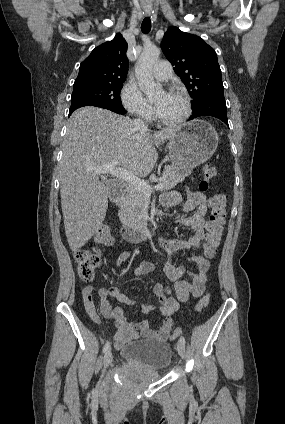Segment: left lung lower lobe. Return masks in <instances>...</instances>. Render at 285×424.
Segmentation results:
<instances>
[{
  "mask_svg": "<svg viewBox=\"0 0 285 424\" xmlns=\"http://www.w3.org/2000/svg\"><path fill=\"white\" fill-rule=\"evenodd\" d=\"M192 109L193 113L189 120L200 116H213L228 125L227 108L224 93H216L209 95L203 98L198 104L193 106Z\"/></svg>",
  "mask_w": 285,
  "mask_h": 424,
  "instance_id": "left-lung-lower-lobe-1",
  "label": "left lung lower lobe"
}]
</instances>
